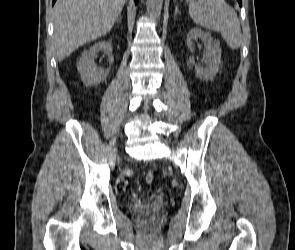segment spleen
<instances>
[{"mask_svg": "<svg viewBox=\"0 0 295 250\" xmlns=\"http://www.w3.org/2000/svg\"><path fill=\"white\" fill-rule=\"evenodd\" d=\"M192 20L199 26L220 32L227 45H241V27L234 9L225 0H187Z\"/></svg>", "mask_w": 295, "mask_h": 250, "instance_id": "spleen-1", "label": "spleen"}]
</instances>
